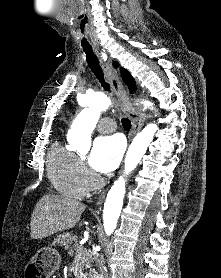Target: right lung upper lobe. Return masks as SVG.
<instances>
[{"label":"right lung upper lobe","mask_w":221,"mask_h":278,"mask_svg":"<svg viewBox=\"0 0 221 278\" xmlns=\"http://www.w3.org/2000/svg\"><path fill=\"white\" fill-rule=\"evenodd\" d=\"M121 76L129 88L131 89L136 88L134 78L130 75V73L127 70L121 68Z\"/></svg>","instance_id":"obj_1"}]
</instances>
